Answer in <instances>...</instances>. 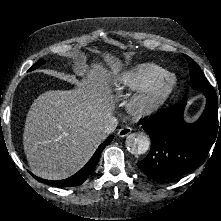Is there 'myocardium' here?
<instances>
[{"label": "myocardium", "instance_id": "1", "mask_svg": "<svg viewBox=\"0 0 221 221\" xmlns=\"http://www.w3.org/2000/svg\"><path fill=\"white\" fill-rule=\"evenodd\" d=\"M177 81L174 75L167 74L150 87L142 90L131 101L130 108L136 115L149 114L160 109L171 97Z\"/></svg>", "mask_w": 221, "mask_h": 221}]
</instances>
